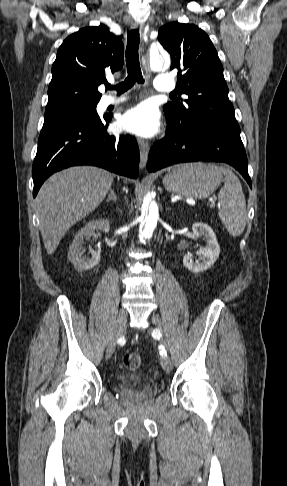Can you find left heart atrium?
<instances>
[{
	"instance_id": "1",
	"label": "left heart atrium",
	"mask_w": 287,
	"mask_h": 486,
	"mask_svg": "<svg viewBox=\"0 0 287 486\" xmlns=\"http://www.w3.org/2000/svg\"><path fill=\"white\" fill-rule=\"evenodd\" d=\"M122 125L137 135L152 136L159 129L158 113L152 106L141 104L123 116Z\"/></svg>"
}]
</instances>
